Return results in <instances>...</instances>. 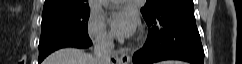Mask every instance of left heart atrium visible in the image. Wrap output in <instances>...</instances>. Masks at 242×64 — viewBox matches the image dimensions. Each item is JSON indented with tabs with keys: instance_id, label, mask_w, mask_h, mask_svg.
Returning <instances> with one entry per match:
<instances>
[{
	"instance_id": "obj_1",
	"label": "left heart atrium",
	"mask_w": 242,
	"mask_h": 64,
	"mask_svg": "<svg viewBox=\"0 0 242 64\" xmlns=\"http://www.w3.org/2000/svg\"><path fill=\"white\" fill-rule=\"evenodd\" d=\"M112 34L117 38H129L137 30L138 17L130 9H121L114 12L110 19Z\"/></svg>"
}]
</instances>
